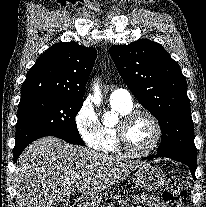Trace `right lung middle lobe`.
Returning <instances> with one entry per match:
<instances>
[{"label": "right lung middle lobe", "instance_id": "obj_1", "mask_svg": "<svg viewBox=\"0 0 206 207\" xmlns=\"http://www.w3.org/2000/svg\"><path fill=\"white\" fill-rule=\"evenodd\" d=\"M83 101L56 96H37L20 101L14 150L44 136L84 145L75 122Z\"/></svg>", "mask_w": 206, "mask_h": 207}]
</instances>
